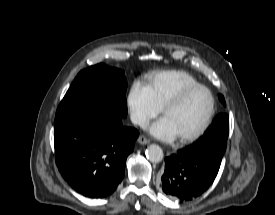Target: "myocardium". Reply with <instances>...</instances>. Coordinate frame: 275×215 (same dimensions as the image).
<instances>
[{
  "mask_svg": "<svg viewBox=\"0 0 275 215\" xmlns=\"http://www.w3.org/2000/svg\"><path fill=\"white\" fill-rule=\"evenodd\" d=\"M197 89H203L209 94L210 108H209V111H208L205 119L199 125V127L197 129H195L193 132H191L187 135L178 137V140L181 143H187V142L195 140L207 129V127L211 123L212 118H213L214 113H215V108H216V100H215V97L213 95V92L207 86H205L203 84H200V83L190 85V86H187V87H184L183 89H181L172 98H170L162 107V115L165 116V114L170 109L177 106L188 94H190L191 92H193Z\"/></svg>",
  "mask_w": 275,
  "mask_h": 215,
  "instance_id": "f54148a6",
  "label": "myocardium"
}]
</instances>
